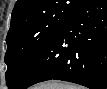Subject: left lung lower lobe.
Returning a JSON list of instances; mask_svg holds the SVG:
<instances>
[{
  "instance_id": "left-lung-lower-lobe-1",
  "label": "left lung lower lobe",
  "mask_w": 107,
  "mask_h": 89,
  "mask_svg": "<svg viewBox=\"0 0 107 89\" xmlns=\"http://www.w3.org/2000/svg\"><path fill=\"white\" fill-rule=\"evenodd\" d=\"M51 79L106 89L107 0H85L58 29L14 89H26Z\"/></svg>"
}]
</instances>
